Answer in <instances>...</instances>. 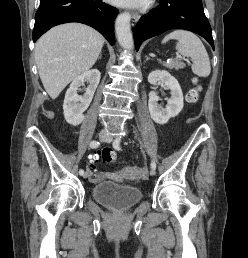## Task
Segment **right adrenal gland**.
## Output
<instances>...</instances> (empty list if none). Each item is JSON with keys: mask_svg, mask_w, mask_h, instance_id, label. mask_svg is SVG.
<instances>
[{"mask_svg": "<svg viewBox=\"0 0 248 258\" xmlns=\"http://www.w3.org/2000/svg\"><path fill=\"white\" fill-rule=\"evenodd\" d=\"M102 58V54H100V56L98 57V59H101Z\"/></svg>", "mask_w": 248, "mask_h": 258, "instance_id": "obj_1", "label": "right adrenal gland"}]
</instances>
